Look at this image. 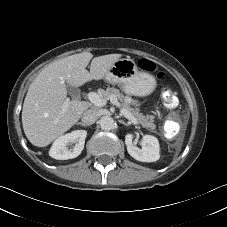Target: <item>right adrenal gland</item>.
Instances as JSON below:
<instances>
[{"mask_svg":"<svg viewBox=\"0 0 227 227\" xmlns=\"http://www.w3.org/2000/svg\"><path fill=\"white\" fill-rule=\"evenodd\" d=\"M77 125L87 126L86 124H84L82 122H78Z\"/></svg>","mask_w":227,"mask_h":227,"instance_id":"right-adrenal-gland-1","label":"right adrenal gland"}]
</instances>
